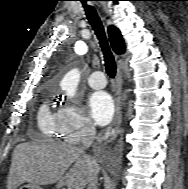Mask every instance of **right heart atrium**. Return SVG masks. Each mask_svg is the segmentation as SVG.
<instances>
[{
	"label": "right heart atrium",
	"instance_id": "1",
	"mask_svg": "<svg viewBox=\"0 0 188 189\" xmlns=\"http://www.w3.org/2000/svg\"><path fill=\"white\" fill-rule=\"evenodd\" d=\"M57 116L62 135L68 142L76 143L94 132L90 119L83 109L75 104L62 105Z\"/></svg>",
	"mask_w": 188,
	"mask_h": 189
}]
</instances>
